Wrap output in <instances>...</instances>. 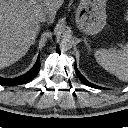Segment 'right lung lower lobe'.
Here are the masks:
<instances>
[{
	"label": "right lung lower lobe",
	"instance_id": "1",
	"mask_svg": "<svg viewBox=\"0 0 128 128\" xmlns=\"http://www.w3.org/2000/svg\"><path fill=\"white\" fill-rule=\"evenodd\" d=\"M39 70H40V55L38 56L35 65L29 72L13 79H5L0 77V84L8 85V86H16V85L28 83L38 74Z\"/></svg>",
	"mask_w": 128,
	"mask_h": 128
}]
</instances>
